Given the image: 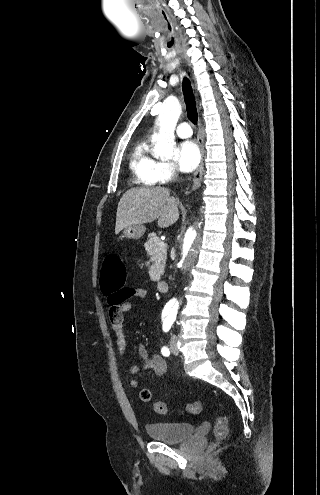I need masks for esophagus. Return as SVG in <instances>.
Listing matches in <instances>:
<instances>
[{
    "label": "esophagus",
    "mask_w": 320,
    "mask_h": 495,
    "mask_svg": "<svg viewBox=\"0 0 320 495\" xmlns=\"http://www.w3.org/2000/svg\"><path fill=\"white\" fill-rule=\"evenodd\" d=\"M198 141H199V145H200V149H201V153H202V160H201V163H200L198 169L196 170V172L194 174L192 190H195L198 187H200L201 182H202L203 171H204V163H203V160H204V145H203L204 137H203V134L201 132H199V134H198Z\"/></svg>",
    "instance_id": "1"
}]
</instances>
